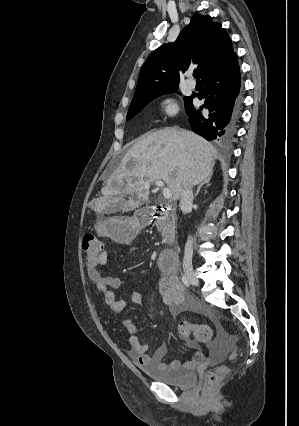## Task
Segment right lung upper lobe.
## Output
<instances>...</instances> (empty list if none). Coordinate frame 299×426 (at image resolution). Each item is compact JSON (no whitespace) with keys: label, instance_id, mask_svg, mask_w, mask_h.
Returning a JSON list of instances; mask_svg holds the SVG:
<instances>
[{"label":"right lung upper lobe","instance_id":"obj_1","mask_svg":"<svg viewBox=\"0 0 299 426\" xmlns=\"http://www.w3.org/2000/svg\"><path fill=\"white\" fill-rule=\"evenodd\" d=\"M231 40L209 15H195L174 43L154 50L140 71L132 100L178 87L182 72L197 64L202 78L225 65L234 55Z\"/></svg>","mask_w":299,"mask_h":426}]
</instances>
